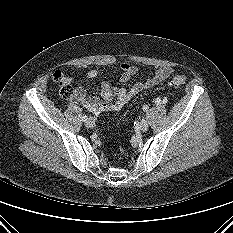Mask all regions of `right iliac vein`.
Wrapping results in <instances>:
<instances>
[{
	"label": "right iliac vein",
	"mask_w": 233,
	"mask_h": 233,
	"mask_svg": "<svg viewBox=\"0 0 233 233\" xmlns=\"http://www.w3.org/2000/svg\"><path fill=\"white\" fill-rule=\"evenodd\" d=\"M95 125V122L92 118H88L86 121H85V126L88 127V128H92L94 127Z\"/></svg>",
	"instance_id": "obj_1"
}]
</instances>
